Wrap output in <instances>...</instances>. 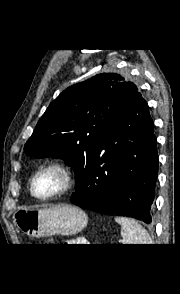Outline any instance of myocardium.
<instances>
[{"instance_id": "myocardium-1", "label": "myocardium", "mask_w": 180, "mask_h": 294, "mask_svg": "<svg viewBox=\"0 0 180 294\" xmlns=\"http://www.w3.org/2000/svg\"><path fill=\"white\" fill-rule=\"evenodd\" d=\"M48 171L58 172L63 178V184L57 191L46 196H41L36 192L35 181L40 174L44 172H48ZM75 184H76V177L72 167L65 161L55 160V161H51L47 163L46 165H44L43 167H41L39 170H37L34 173L30 181V192L37 199L48 201L69 192L71 189L74 188Z\"/></svg>"}]
</instances>
